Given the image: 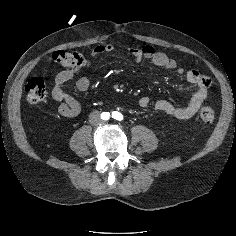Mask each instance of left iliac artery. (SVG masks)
I'll use <instances>...</instances> for the list:
<instances>
[{
  "mask_svg": "<svg viewBox=\"0 0 236 236\" xmlns=\"http://www.w3.org/2000/svg\"><path fill=\"white\" fill-rule=\"evenodd\" d=\"M112 117L119 121L123 120V115L119 112H112Z\"/></svg>",
  "mask_w": 236,
  "mask_h": 236,
  "instance_id": "44dca946",
  "label": "left iliac artery"
}]
</instances>
